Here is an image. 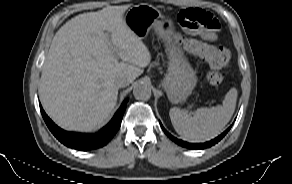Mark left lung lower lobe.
Instances as JSON below:
<instances>
[{
	"instance_id": "obj_1",
	"label": "left lung lower lobe",
	"mask_w": 292,
	"mask_h": 184,
	"mask_svg": "<svg viewBox=\"0 0 292 184\" xmlns=\"http://www.w3.org/2000/svg\"><path fill=\"white\" fill-rule=\"evenodd\" d=\"M163 131L166 133V135L172 139L174 142H176L177 144L186 147V148H190V149H204L207 147H210L214 144H216L217 142H219L225 135L226 133L230 130L231 127H229L226 131H224L221 135H219L218 137H216L215 139L206 142V143H199V144H194V143H187L185 141L176 139L175 137H173L172 135H170L165 129L164 127L161 125Z\"/></svg>"
}]
</instances>
